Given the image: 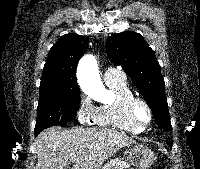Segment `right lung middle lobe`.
Returning a JSON list of instances; mask_svg holds the SVG:
<instances>
[{"instance_id": "dd1d6c3e", "label": "right lung middle lobe", "mask_w": 200, "mask_h": 169, "mask_svg": "<svg viewBox=\"0 0 200 169\" xmlns=\"http://www.w3.org/2000/svg\"><path fill=\"white\" fill-rule=\"evenodd\" d=\"M80 92L52 96H41L37 107L35 136L42 130L54 126H65L76 117L79 108Z\"/></svg>"}]
</instances>
